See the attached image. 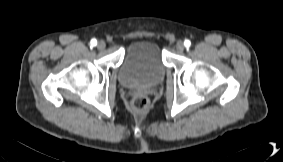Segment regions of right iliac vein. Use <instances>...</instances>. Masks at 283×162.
Wrapping results in <instances>:
<instances>
[{
    "mask_svg": "<svg viewBox=\"0 0 283 162\" xmlns=\"http://www.w3.org/2000/svg\"><path fill=\"white\" fill-rule=\"evenodd\" d=\"M105 47H106V44H105L104 41L98 42L97 48H98L99 50H103Z\"/></svg>",
    "mask_w": 283,
    "mask_h": 162,
    "instance_id": "right-iliac-vein-1",
    "label": "right iliac vein"
}]
</instances>
